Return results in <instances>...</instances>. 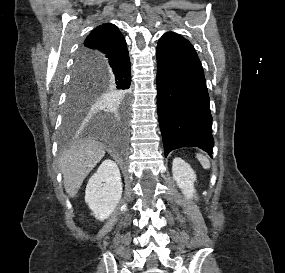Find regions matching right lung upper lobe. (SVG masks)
<instances>
[{"label": "right lung upper lobe", "mask_w": 285, "mask_h": 273, "mask_svg": "<svg viewBox=\"0 0 285 273\" xmlns=\"http://www.w3.org/2000/svg\"><path fill=\"white\" fill-rule=\"evenodd\" d=\"M127 53L126 41L118 27L106 23L96 27L87 36L79 51L75 66L79 71L88 73L91 72L90 67L92 64L98 61L118 59ZM95 75L98 81L99 75Z\"/></svg>", "instance_id": "obj_1"}]
</instances>
